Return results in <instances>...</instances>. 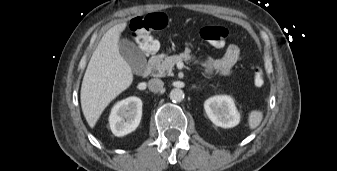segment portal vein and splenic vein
<instances>
[{"instance_id": "obj_1", "label": "portal vein and splenic vein", "mask_w": 337, "mask_h": 171, "mask_svg": "<svg viewBox=\"0 0 337 171\" xmlns=\"http://www.w3.org/2000/svg\"><path fill=\"white\" fill-rule=\"evenodd\" d=\"M177 67H178V69H182L184 67L183 62H178Z\"/></svg>"}]
</instances>
